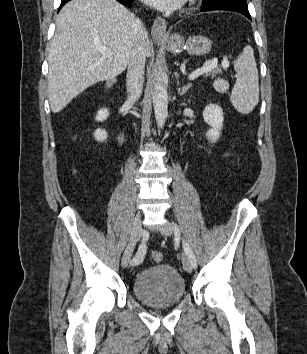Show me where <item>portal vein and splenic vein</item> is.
<instances>
[{
  "label": "portal vein and splenic vein",
  "instance_id": "1",
  "mask_svg": "<svg viewBox=\"0 0 307 354\" xmlns=\"http://www.w3.org/2000/svg\"><path fill=\"white\" fill-rule=\"evenodd\" d=\"M96 48L102 54L103 57H110L112 55L111 50L104 45H97ZM217 63H218L217 58L206 61L201 68L194 70L189 75V77H188L189 80H194L197 77H199L200 75L210 72L211 70H213L217 66ZM222 66L226 69L229 66V62L227 60H224L222 62Z\"/></svg>",
  "mask_w": 307,
  "mask_h": 354
}]
</instances>
